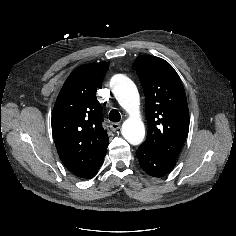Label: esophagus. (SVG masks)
<instances>
[{"mask_svg":"<svg viewBox=\"0 0 236 236\" xmlns=\"http://www.w3.org/2000/svg\"><path fill=\"white\" fill-rule=\"evenodd\" d=\"M110 128H111V130L116 131L120 128V124L116 123V122H113V123L110 124Z\"/></svg>","mask_w":236,"mask_h":236,"instance_id":"34e87169","label":"esophagus"}]
</instances>
